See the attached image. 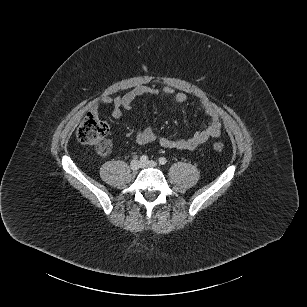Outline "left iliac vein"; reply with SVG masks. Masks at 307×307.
Segmentation results:
<instances>
[{"mask_svg":"<svg viewBox=\"0 0 307 307\" xmlns=\"http://www.w3.org/2000/svg\"><path fill=\"white\" fill-rule=\"evenodd\" d=\"M157 166V163L155 162V161H153V160H151V161H148V162H146V163H142V167L143 168H155Z\"/></svg>","mask_w":307,"mask_h":307,"instance_id":"obj_1","label":"left iliac vein"}]
</instances>
